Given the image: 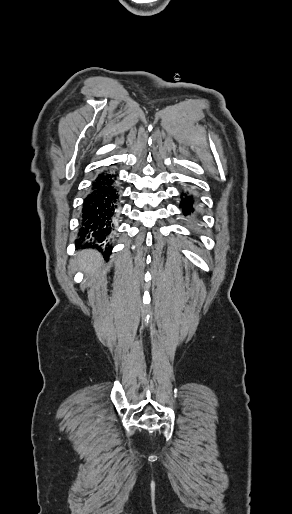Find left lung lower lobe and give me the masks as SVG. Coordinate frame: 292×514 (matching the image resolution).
I'll return each mask as SVG.
<instances>
[{"mask_svg": "<svg viewBox=\"0 0 292 514\" xmlns=\"http://www.w3.org/2000/svg\"><path fill=\"white\" fill-rule=\"evenodd\" d=\"M180 208L183 215L189 220L197 218L196 199L188 190H182L180 193Z\"/></svg>", "mask_w": 292, "mask_h": 514, "instance_id": "1", "label": "left lung lower lobe"}]
</instances>
